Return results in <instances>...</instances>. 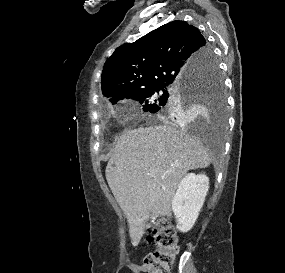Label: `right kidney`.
Segmentation results:
<instances>
[{
	"label": "right kidney",
	"mask_w": 285,
	"mask_h": 273,
	"mask_svg": "<svg viewBox=\"0 0 285 273\" xmlns=\"http://www.w3.org/2000/svg\"><path fill=\"white\" fill-rule=\"evenodd\" d=\"M209 189V178L204 174H187L178 184L172 200L177 229L188 232L195 224Z\"/></svg>",
	"instance_id": "1"
}]
</instances>
